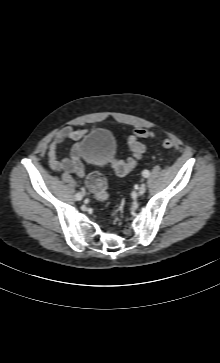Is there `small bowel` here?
Listing matches in <instances>:
<instances>
[{
    "mask_svg": "<svg viewBox=\"0 0 220 363\" xmlns=\"http://www.w3.org/2000/svg\"><path fill=\"white\" fill-rule=\"evenodd\" d=\"M85 133L86 130H76L67 126L53 134L48 146V163L54 171H65L80 177L85 175L79 146H75L70 152V155L66 157L60 158L57 153L58 147L65 140L78 141Z\"/></svg>",
    "mask_w": 220,
    "mask_h": 363,
    "instance_id": "small-bowel-1",
    "label": "small bowel"
}]
</instances>
